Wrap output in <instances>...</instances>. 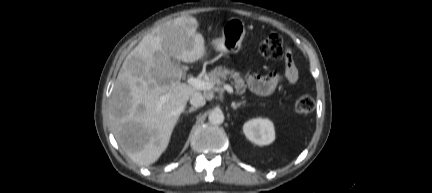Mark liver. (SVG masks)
Returning <instances> with one entry per match:
<instances>
[{
    "label": "liver",
    "mask_w": 432,
    "mask_h": 193,
    "mask_svg": "<svg viewBox=\"0 0 432 193\" xmlns=\"http://www.w3.org/2000/svg\"><path fill=\"white\" fill-rule=\"evenodd\" d=\"M198 21L181 16L167 21L127 55L109 101L113 134L136 164L149 166L166 150L180 114L196 88L181 83L182 70L171 58L194 63L205 53Z\"/></svg>",
    "instance_id": "obj_1"
}]
</instances>
